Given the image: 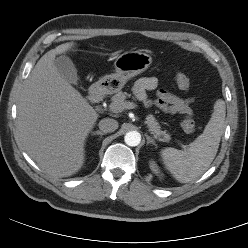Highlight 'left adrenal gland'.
I'll use <instances>...</instances> for the list:
<instances>
[{"label": "left adrenal gland", "instance_id": "a2214340", "mask_svg": "<svg viewBox=\"0 0 248 248\" xmlns=\"http://www.w3.org/2000/svg\"><path fill=\"white\" fill-rule=\"evenodd\" d=\"M146 136V139H147V145H149V144H152V145H154L155 147H157V145H156V143H155V141H154V139L152 138V137H150L149 135H145Z\"/></svg>", "mask_w": 248, "mask_h": 248}]
</instances>
